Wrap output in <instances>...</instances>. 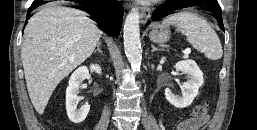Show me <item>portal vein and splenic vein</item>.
<instances>
[{"instance_id": "1", "label": "portal vein and splenic vein", "mask_w": 257, "mask_h": 130, "mask_svg": "<svg viewBox=\"0 0 257 130\" xmlns=\"http://www.w3.org/2000/svg\"><path fill=\"white\" fill-rule=\"evenodd\" d=\"M190 52H191V50L189 48L183 51V53L186 54V55L190 54Z\"/></svg>"}]
</instances>
